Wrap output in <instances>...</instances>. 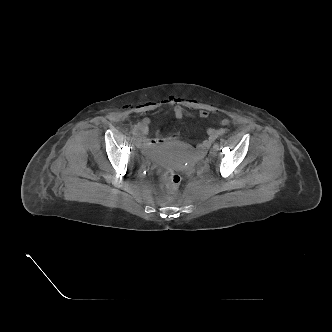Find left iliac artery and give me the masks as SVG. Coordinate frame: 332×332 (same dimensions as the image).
<instances>
[{"mask_svg": "<svg viewBox=\"0 0 332 332\" xmlns=\"http://www.w3.org/2000/svg\"><path fill=\"white\" fill-rule=\"evenodd\" d=\"M213 147L218 150L219 149V143H215Z\"/></svg>", "mask_w": 332, "mask_h": 332, "instance_id": "obj_1", "label": "left iliac artery"}]
</instances>
